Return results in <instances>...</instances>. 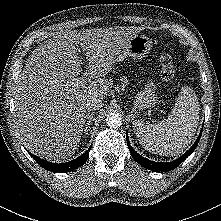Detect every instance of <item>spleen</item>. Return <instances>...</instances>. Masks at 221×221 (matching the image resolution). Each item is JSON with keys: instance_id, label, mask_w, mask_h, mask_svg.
I'll return each mask as SVG.
<instances>
[{"instance_id": "3e777b00", "label": "spleen", "mask_w": 221, "mask_h": 221, "mask_svg": "<svg viewBox=\"0 0 221 221\" xmlns=\"http://www.w3.org/2000/svg\"><path fill=\"white\" fill-rule=\"evenodd\" d=\"M199 102L193 89L182 87L168 118L155 124L136 120L134 132L148 151L165 156L182 153L190 144L198 125Z\"/></svg>"}]
</instances>
